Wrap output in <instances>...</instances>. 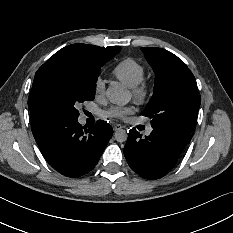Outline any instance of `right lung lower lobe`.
<instances>
[{"label": "right lung lower lobe", "mask_w": 233, "mask_h": 233, "mask_svg": "<svg viewBox=\"0 0 233 233\" xmlns=\"http://www.w3.org/2000/svg\"><path fill=\"white\" fill-rule=\"evenodd\" d=\"M32 133L47 162L67 177H80L97 164L112 134L105 121L88 128L78 118L32 124Z\"/></svg>", "instance_id": "obj_1"}]
</instances>
